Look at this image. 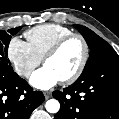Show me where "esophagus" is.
Segmentation results:
<instances>
[{"mask_svg": "<svg viewBox=\"0 0 119 119\" xmlns=\"http://www.w3.org/2000/svg\"><path fill=\"white\" fill-rule=\"evenodd\" d=\"M44 96L46 99H49L51 97V92L50 91H45Z\"/></svg>", "mask_w": 119, "mask_h": 119, "instance_id": "esophagus-1", "label": "esophagus"}]
</instances>
